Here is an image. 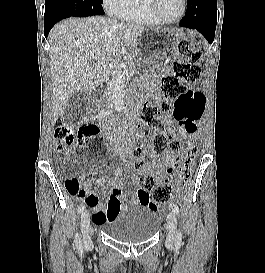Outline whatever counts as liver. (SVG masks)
Masks as SVG:
<instances>
[{"instance_id":"1","label":"liver","mask_w":265,"mask_h":273,"mask_svg":"<svg viewBox=\"0 0 265 273\" xmlns=\"http://www.w3.org/2000/svg\"><path fill=\"white\" fill-rule=\"evenodd\" d=\"M144 27L102 16L70 18L54 26L48 36L53 83V119L61 116L71 96L88 93L109 79ZM100 54L99 58H95Z\"/></svg>"}]
</instances>
